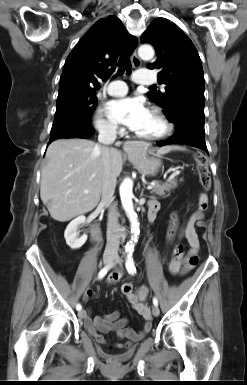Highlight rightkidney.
Returning <instances> with one entry per match:
<instances>
[{"label":"right kidney","mask_w":247,"mask_h":385,"mask_svg":"<svg viewBox=\"0 0 247 385\" xmlns=\"http://www.w3.org/2000/svg\"><path fill=\"white\" fill-rule=\"evenodd\" d=\"M85 221H86V217L84 215L78 216L77 218H75L69 223V225L67 226L64 232L66 243L73 250H76L82 247L87 240V235H83L80 238L77 237L78 227L81 224H84Z\"/></svg>","instance_id":"1"}]
</instances>
